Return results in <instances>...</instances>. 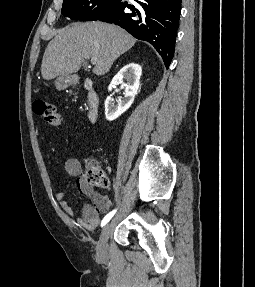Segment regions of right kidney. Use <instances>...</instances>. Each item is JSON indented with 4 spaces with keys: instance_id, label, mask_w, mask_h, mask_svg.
Returning <instances> with one entry per match:
<instances>
[{
    "instance_id": "obj_1",
    "label": "right kidney",
    "mask_w": 255,
    "mask_h": 287,
    "mask_svg": "<svg viewBox=\"0 0 255 287\" xmlns=\"http://www.w3.org/2000/svg\"><path fill=\"white\" fill-rule=\"evenodd\" d=\"M142 74V68L139 64H127L124 68H121L120 72L114 76L108 90L111 92L112 88H116L119 84L125 86L124 100H118L117 106H115L114 98L108 96L105 102V116L109 122L119 118L123 112H126L134 102V98L138 92L140 86V78Z\"/></svg>"
}]
</instances>
